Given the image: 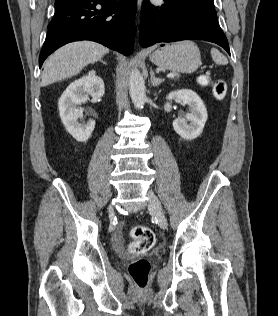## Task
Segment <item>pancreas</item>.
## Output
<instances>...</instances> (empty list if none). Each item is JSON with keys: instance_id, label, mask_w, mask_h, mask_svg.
I'll return each instance as SVG.
<instances>
[{"instance_id": "1", "label": "pancreas", "mask_w": 278, "mask_h": 316, "mask_svg": "<svg viewBox=\"0 0 278 316\" xmlns=\"http://www.w3.org/2000/svg\"><path fill=\"white\" fill-rule=\"evenodd\" d=\"M179 78V75L178 74H176V79H178Z\"/></svg>"}]
</instances>
